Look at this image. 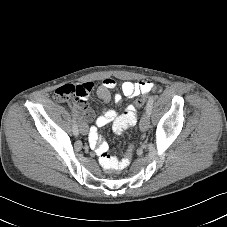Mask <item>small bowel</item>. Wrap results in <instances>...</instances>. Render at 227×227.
<instances>
[{"mask_svg":"<svg viewBox=\"0 0 227 227\" xmlns=\"http://www.w3.org/2000/svg\"><path fill=\"white\" fill-rule=\"evenodd\" d=\"M80 87L82 94L72 99L70 104L73 111H75L79 117L81 128H85L89 137V144L96 154L100 157L102 154H107L108 144L99 137L97 133L98 127H103L109 123H113L114 131L119 134L129 126L135 125L138 119L136 108L132 105L128 106L124 113L119 114L117 111L110 109L105 110L96 119L95 126L87 128V123L91 120V114L88 112L85 101L88 98L89 93L93 88V83L85 82L77 85ZM116 87V81L113 78L107 77L102 80L100 87L98 88V96L104 101L108 102L111 99L110 90ZM153 87L150 81L131 82L124 81L121 84L120 92L115 93L114 100L119 103L122 97H135L141 93L149 92ZM60 101H64L61 99Z\"/></svg>","mask_w":227,"mask_h":227,"instance_id":"small-bowel-1","label":"small bowel"}]
</instances>
